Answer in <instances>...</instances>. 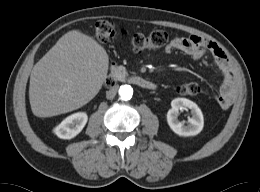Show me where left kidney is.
Segmentation results:
<instances>
[{
  "label": "left kidney",
  "instance_id": "obj_1",
  "mask_svg": "<svg viewBox=\"0 0 260 192\" xmlns=\"http://www.w3.org/2000/svg\"><path fill=\"white\" fill-rule=\"evenodd\" d=\"M171 109L167 113V123L171 130L179 136H195L199 134L204 126V118L201 109L196 103L186 98H175L171 101ZM189 108L192 117L188 119V124L178 120L179 110Z\"/></svg>",
  "mask_w": 260,
  "mask_h": 192
}]
</instances>
